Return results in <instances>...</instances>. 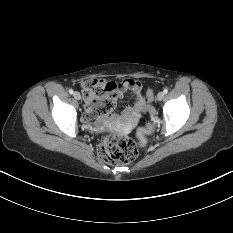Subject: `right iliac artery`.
I'll return each mask as SVG.
<instances>
[{
    "mask_svg": "<svg viewBox=\"0 0 233 233\" xmlns=\"http://www.w3.org/2000/svg\"><path fill=\"white\" fill-rule=\"evenodd\" d=\"M69 93H70V94H73V93H74L73 89H70V90H69Z\"/></svg>",
    "mask_w": 233,
    "mask_h": 233,
    "instance_id": "right-iliac-artery-1",
    "label": "right iliac artery"
}]
</instances>
